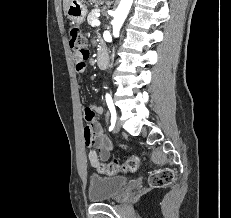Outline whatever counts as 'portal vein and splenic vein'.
<instances>
[{
	"label": "portal vein and splenic vein",
	"instance_id": "portal-vein-and-splenic-vein-1",
	"mask_svg": "<svg viewBox=\"0 0 231 218\" xmlns=\"http://www.w3.org/2000/svg\"><path fill=\"white\" fill-rule=\"evenodd\" d=\"M91 25L92 26H99L100 22L98 20H94Z\"/></svg>",
	"mask_w": 231,
	"mask_h": 218
}]
</instances>
